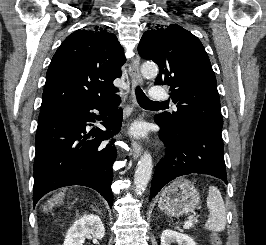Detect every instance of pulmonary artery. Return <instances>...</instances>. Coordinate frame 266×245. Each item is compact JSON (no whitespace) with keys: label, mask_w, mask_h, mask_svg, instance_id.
<instances>
[{"label":"pulmonary artery","mask_w":266,"mask_h":245,"mask_svg":"<svg viewBox=\"0 0 266 245\" xmlns=\"http://www.w3.org/2000/svg\"><path fill=\"white\" fill-rule=\"evenodd\" d=\"M151 90L152 91L150 92V95L155 96L154 97L155 101H166L167 100L166 96L168 95V92L160 91V86H152ZM173 108L176 110L177 109L176 105H173Z\"/></svg>","instance_id":"1"}]
</instances>
